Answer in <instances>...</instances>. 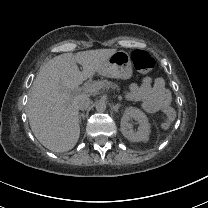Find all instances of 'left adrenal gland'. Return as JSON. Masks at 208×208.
Listing matches in <instances>:
<instances>
[{"instance_id": "obj_1", "label": "left adrenal gland", "mask_w": 208, "mask_h": 208, "mask_svg": "<svg viewBox=\"0 0 208 208\" xmlns=\"http://www.w3.org/2000/svg\"><path fill=\"white\" fill-rule=\"evenodd\" d=\"M120 106H121L120 104L112 105L111 109L114 110L115 112H118Z\"/></svg>"}]
</instances>
